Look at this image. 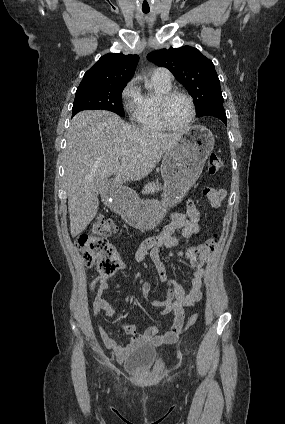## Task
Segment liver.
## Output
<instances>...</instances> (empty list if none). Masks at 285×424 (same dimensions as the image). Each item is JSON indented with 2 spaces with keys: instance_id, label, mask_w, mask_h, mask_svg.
<instances>
[{
  "instance_id": "1",
  "label": "liver",
  "mask_w": 285,
  "mask_h": 424,
  "mask_svg": "<svg viewBox=\"0 0 285 424\" xmlns=\"http://www.w3.org/2000/svg\"><path fill=\"white\" fill-rule=\"evenodd\" d=\"M181 136L138 128L109 111L76 114L64 151L71 236L83 232L97 214L99 181L113 174L120 180L143 179Z\"/></svg>"
}]
</instances>
